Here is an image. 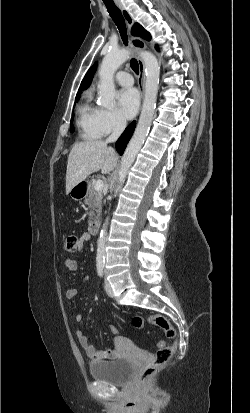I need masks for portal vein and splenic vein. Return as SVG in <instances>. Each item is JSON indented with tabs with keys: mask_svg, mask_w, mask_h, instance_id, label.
Returning a JSON list of instances; mask_svg holds the SVG:
<instances>
[{
	"mask_svg": "<svg viewBox=\"0 0 250 413\" xmlns=\"http://www.w3.org/2000/svg\"><path fill=\"white\" fill-rule=\"evenodd\" d=\"M103 186H104L103 181L102 180H97L95 182L94 188H95V190L100 191V190L103 189Z\"/></svg>",
	"mask_w": 250,
	"mask_h": 413,
	"instance_id": "1",
	"label": "portal vein and splenic vein"
}]
</instances>
